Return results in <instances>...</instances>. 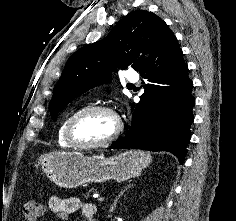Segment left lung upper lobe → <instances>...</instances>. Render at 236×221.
I'll use <instances>...</instances> for the list:
<instances>
[{"mask_svg": "<svg viewBox=\"0 0 236 221\" xmlns=\"http://www.w3.org/2000/svg\"><path fill=\"white\" fill-rule=\"evenodd\" d=\"M170 30L158 16L148 11H133L120 20L101 41L77 50L67 61L50 102L56 120L59 111L80 94L112 80L117 66L136 71L151 58L163 34ZM140 53H150L143 58Z\"/></svg>", "mask_w": 236, "mask_h": 221, "instance_id": "1", "label": "left lung upper lobe"}]
</instances>
